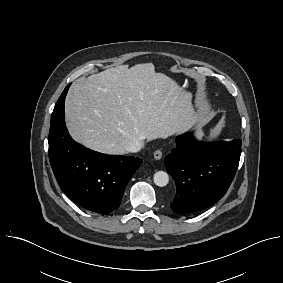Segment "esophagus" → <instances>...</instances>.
I'll list each match as a JSON object with an SVG mask.
<instances>
[{
	"mask_svg": "<svg viewBox=\"0 0 283 283\" xmlns=\"http://www.w3.org/2000/svg\"><path fill=\"white\" fill-rule=\"evenodd\" d=\"M153 156H154V158H155L156 160L161 159V158H162V151H161V150H156V151L154 152Z\"/></svg>",
	"mask_w": 283,
	"mask_h": 283,
	"instance_id": "esophagus-1",
	"label": "esophagus"
}]
</instances>
